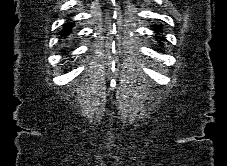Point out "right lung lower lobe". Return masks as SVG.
Instances as JSON below:
<instances>
[{"label":"right lung lower lobe","instance_id":"obj_1","mask_svg":"<svg viewBox=\"0 0 227 166\" xmlns=\"http://www.w3.org/2000/svg\"><path fill=\"white\" fill-rule=\"evenodd\" d=\"M72 26H73V23H67L64 29L62 30V35H69L71 32Z\"/></svg>","mask_w":227,"mask_h":166}]
</instances>
